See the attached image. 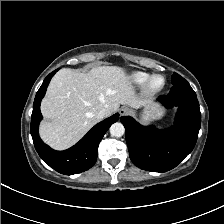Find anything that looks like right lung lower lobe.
Listing matches in <instances>:
<instances>
[{"label":"right lung lower lobe","instance_id":"right-lung-lower-lobe-1","mask_svg":"<svg viewBox=\"0 0 224 224\" xmlns=\"http://www.w3.org/2000/svg\"><path fill=\"white\" fill-rule=\"evenodd\" d=\"M58 71L51 72L39 88L31 116V135L36 151L42 160L59 173L72 175L91 168L97 159L98 145L109 127L119 119V114L105 119L95 125L76 145L65 151H55L43 143L38 134L39 122L42 119L40 103L45 95L47 86Z\"/></svg>","mask_w":224,"mask_h":224}]
</instances>
